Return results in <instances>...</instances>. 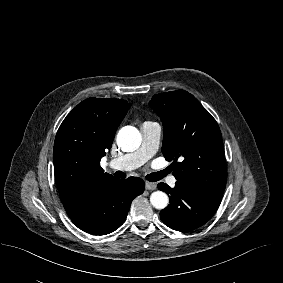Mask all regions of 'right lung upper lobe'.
<instances>
[{
    "label": "right lung upper lobe",
    "instance_id": "1",
    "mask_svg": "<svg viewBox=\"0 0 283 283\" xmlns=\"http://www.w3.org/2000/svg\"><path fill=\"white\" fill-rule=\"evenodd\" d=\"M128 109L126 100L92 97L79 103L60 125L54 142V172L69 216L103 184L116 179L104 173L100 160L111 148Z\"/></svg>",
    "mask_w": 283,
    "mask_h": 283
}]
</instances>
